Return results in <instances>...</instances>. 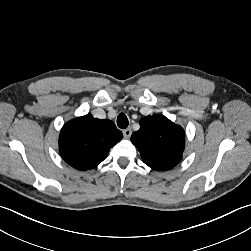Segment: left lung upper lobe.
I'll use <instances>...</instances> for the list:
<instances>
[{"mask_svg":"<svg viewBox=\"0 0 251 251\" xmlns=\"http://www.w3.org/2000/svg\"><path fill=\"white\" fill-rule=\"evenodd\" d=\"M131 141L146 165L163 171L175 167L182 159L185 132L164 116H147L140 120V129L132 134Z\"/></svg>","mask_w":251,"mask_h":251,"instance_id":"5c2ea615","label":"left lung upper lobe"}]
</instances>
